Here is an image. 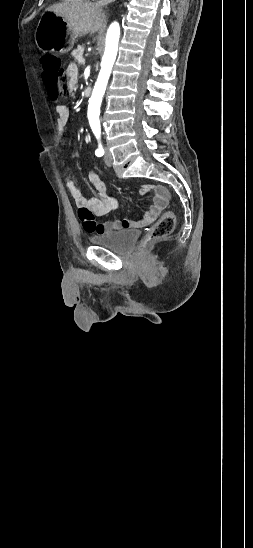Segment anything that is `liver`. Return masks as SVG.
I'll return each instance as SVG.
<instances>
[{
	"instance_id": "liver-1",
	"label": "liver",
	"mask_w": 253,
	"mask_h": 548,
	"mask_svg": "<svg viewBox=\"0 0 253 548\" xmlns=\"http://www.w3.org/2000/svg\"><path fill=\"white\" fill-rule=\"evenodd\" d=\"M97 3H57L46 11L62 17L74 38L97 32L104 23L105 14Z\"/></svg>"
}]
</instances>
